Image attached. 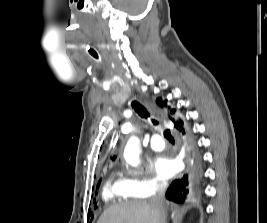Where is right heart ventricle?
Instances as JSON below:
<instances>
[{
  "label": "right heart ventricle",
  "mask_w": 267,
  "mask_h": 223,
  "mask_svg": "<svg viewBox=\"0 0 267 223\" xmlns=\"http://www.w3.org/2000/svg\"><path fill=\"white\" fill-rule=\"evenodd\" d=\"M103 199L107 202H112L114 205L117 201L132 196L124 183V178L117 175L111 178L105 185L102 193Z\"/></svg>",
  "instance_id": "obj_1"
}]
</instances>
